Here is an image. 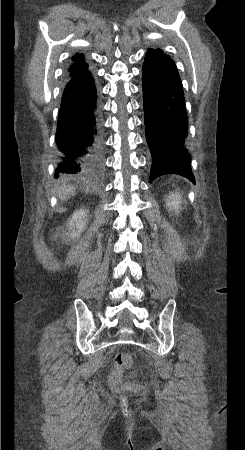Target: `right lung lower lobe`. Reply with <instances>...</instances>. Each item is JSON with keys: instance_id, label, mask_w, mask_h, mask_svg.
<instances>
[{"instance_id": "1", "label": "right lung lower lobe", "mask_w": 245, "mask_h": 450, "mask_svg": "<svg viewBox=\"0 0 245 450\" xmlns=\"http://www.w3.org/2000/svg\"><path fill=\"white\" fill-rule=\"evenodd\" d=\"M59 173L95 175L103 168L100 106L87 68L68 78L57 124Z\"/></svg>"}]
</instances>
